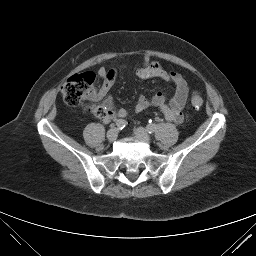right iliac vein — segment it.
<instances>
[{
  "mask_svg": "<svg viewBox=\"0 0 256 256\" xmlns=\"http://www.w3.org/2000/svg\"><path fill=\"white\" fill-rule=\"evenodd\" d=\"M118 136V129L117 128H111L107 132V139L109 142H114L117 139Z\"/></svg>",
  "mask_w": 256,
  "mask_h": 256,
  "instance_id": "63e3f726",
  "label": "right iliac vein"
}]
</instances>
